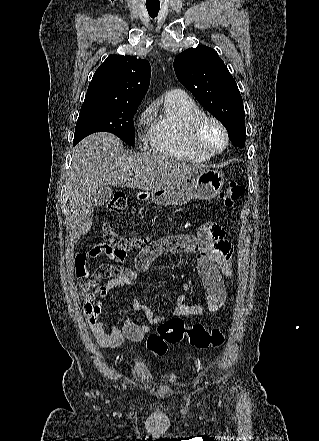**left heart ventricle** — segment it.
Returning a JSON list of instances; mask_svg holds the SVG:
<instances>
[{
    "label": "left heart ventricle",
    "instance_id": "1",
    "mask_svg": "<svg viewBox=\"0 0 319 441\" xmlns=\"http://www.w3.org/2000/svg\"><path fill=\"white\" fill-rule=\"evenodd\" d=\"M205 144L211 148H219L222 144L223 137L221 132L213 125L206 128L203 133Z\"/></svg>",
    "mask_w": 319,
    "mask_h": 441
}]
</instances>
